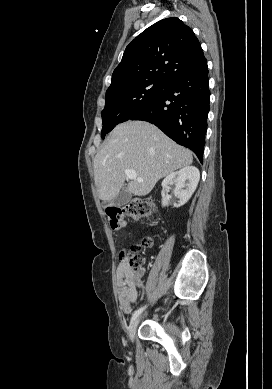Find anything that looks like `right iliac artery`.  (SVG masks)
I'll list each match as a JSON object with an SVG mask.
<instances>
[{"label":"right iliac artery","instance_id":"obj_1","mask_svg":"<svg viewBox=\"0 0 272 389\" xmlns=\"http://www.w3.org/2000/svg\"><path fill=\"white\" fill-rule=\"evenodd\" d=\"M146 308V306L144 307H141L139 308L138 310H136L133 315H132V318H131V322H133L141 313L142 311Z\"/></svg>","mask_w":272,"mask_h":389}]
</instances>
